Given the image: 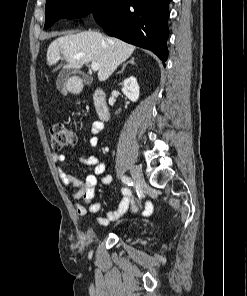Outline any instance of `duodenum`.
<instances>
[{
    "instance_id": "duodenum-1",
    "label": "duodenum",
    "mask_w": 247,
    "mask_h": 296,
    "mask_svg": "<svg viewBox=\"0 0 247 296\" xmlns=\"http://www.w3.org/2000/svg\"><path fill=\"white\" fill-rule=\"evenodd\" d=\"M94 110L100 120H108L110 112L106 102V94L103 89H97L94 93Z\"/></svg>"
}]
</instances>
